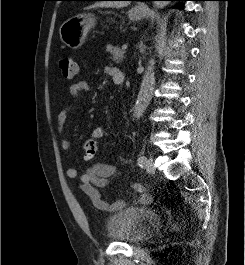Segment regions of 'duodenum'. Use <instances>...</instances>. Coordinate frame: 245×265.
Wrapping results in <instances>:
<instances>
[{
    "instance_id": "duodenum-1",
    "label": "duodenum",
    "mask_w": 245,
    "mask_h": 265,
    "mask_svg": "<svg viewBox=\"0 0 245 265\" xmlns=\"http://www.w3.org/2000/svg\"><path fill=\"white\" fill-rule=\"evenodd\" d=\"M124 81H125V78H123L122 80L121 79L115 80L114 83L117 85H122Z\"/></svg>"
}]
</instances>
